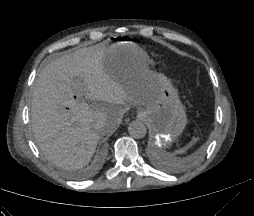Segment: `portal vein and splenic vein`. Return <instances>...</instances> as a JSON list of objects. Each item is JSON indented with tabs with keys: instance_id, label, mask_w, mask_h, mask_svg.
Returning a JSON list of instances; mask_svg holds the SVG:
<instances>
[{
	"instance_id": "portal-vein-and-splenic-vein-1",
	"label": "portal vein and splenic vein",
	"mask_w": 254,
	"mask_h": 216,
	"mask_svg": "<svg viewBox=\"0 0 254 216\" xmlns=\"http://www.w3.org/2000/svg\"><path fill=\"white\" fill-rule=\"evenodd\" d=\"M75 90H76V96L78 98H81L83 93L85 92V89H84L82 83H80V82L76 83Z\"/></svg>"
}]
</instances>
